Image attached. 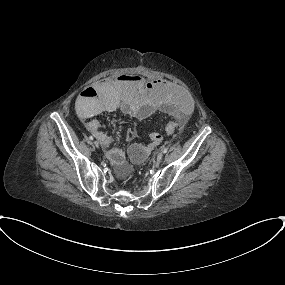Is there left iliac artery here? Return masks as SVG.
Instances as JSON below:
<instances>
[{
    "instance_id": "1",
    "label": "left iliac artery",
    "mask_w": 285,
    "mask_h": 285,
    "mask_svg": "<svg viewBox=\"0 0 285 285\" xmlns=\"http://www.w3.org/2000/svg\"><path fill=\"white\" fill-rule=\"evenodd\" d=\"M167 151H168V148H164V149L162 150L163 153H167Z\"/></svg>"
}]
</instances>
